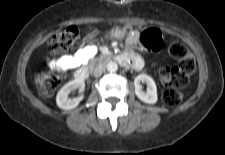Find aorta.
<instances>
[{
  "label": "aorta",
  "instance_id": "1",
  "mask_svg": "<svg viewBox=\"0 0 225 155\" xmlns=\"http://www.w3.org/2000/svg\"><path fill=\"white\" fill-rule=\"evenodd\" d=\"M106 68L109 72H116L118 70V64L116 62L110 61L107 63Z\"/></svg>",
  "mask_w": 225,
  "mask_h": 155
}]
</instances>
